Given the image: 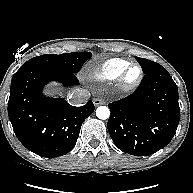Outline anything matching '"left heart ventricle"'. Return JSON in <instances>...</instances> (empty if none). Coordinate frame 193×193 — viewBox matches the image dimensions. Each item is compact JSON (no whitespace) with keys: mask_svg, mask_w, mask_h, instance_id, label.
<instances>
[{"mask_svg":"<svg viewBox=\"0 0 193 193\" xmlns=\"http://www.w3.org/2000/svg\"><path fill=\"white\" fill-rule=\"evenodd\" d=\"M139 76V69L137 67L132 68L127 75V82L135 81Z\"/></svg>","mask_w":193,"mask_h":193,"instance_id":"1","label":"left heart ventricle"}]
</instances>
